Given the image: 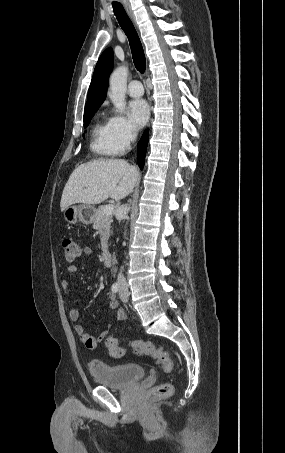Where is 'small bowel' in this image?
<instances>
[{
    "label": "small bowel",
    "instance_id": "small-bowel-1",
    "mask_svg": "<svg viewBox=\"0 0 285 453\" xmlns=\"http://www.w3.org/2000/svg\"><path fill=\"white\" fill-rule=\"evenodd\" d=\"M82 253L84 255H91L92 249L89 246H85L82 248ZM77 271V267L74 264H70L68 266V276L67 278L61 281V288L64 292L69 293L71 288V279L75 275ZM108 301H109V308L112 310H116L115 319L117 321H124L126 319V313L123 309L118 308V301L113 293H108ZM68 315L71 321L77 322L79 320V311L75 308H70L68 310ZM75 332L79 336L81 342L86 346V348L93 350L97 348L99 342L104 340L109 332L110 327L108 326L105 328L98 336L94 337L87 332H85L84 327L81 324L75 325Z\"/></svg>",
    "mask_w": 285,
    "mask_h": 453
}]
</instances>
